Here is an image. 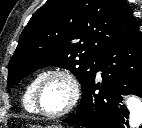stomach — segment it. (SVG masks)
Masks as SVG:
<instances>
[{"instance_id":"obj_1","label":"stomach","mask_w":142,"mask_h":128,"mask_svg":"<svg viewBox=\"0 0 142 128\" xmlns=\"http://www.w3.org/2000/svg\"><path fill=\"white\" fill-rule=\"evenodd\" d=\"M31 128H43L41 126H38V125H34V126H31ZM45 128H62V126H59V125H51V126H47Z\"/></svg>"}]
</instances>
